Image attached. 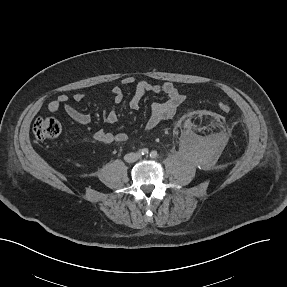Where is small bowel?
Instances as JSON below:
<instances>
[{"instance_id":"small-bowel-1","label":"small bowel","mask_w":287,"mask_h":287,"mask_svg":"<svg viewBox=\"0 0 287 287\" xmlns=\"http://www.w3.org/2000/svg\"><path fill=\"white\" fill-rule=\"evenodd\" d=\"M123 85L134 86V94L129 101V106L133 110L140 108L142 99L147 93H162L167 96V100L164 102H155L151 105L150 115L145 124V128L148 130L154 129L159 123L173 117L184 102V95L180 93L174 83L164 82L162 84H153L144 80H136L133 76H125L121 80ZM113 97V106L111 109H102L103 120L107 124H112L117 120L116 107L122 103L124 99L123 90L115 86L111 89ZM86 98V94L75 93L72 96L74 102H82ZM63 109L65 114L74 122L88 125L91 123V116L83 113L69 104V97L65 94L57 96L51 100L47 105V110L51 113H55ZM97 141L109 144L112 142L124 143L128 140V135L124 132L112 133L106 130H98L95 133Z\"/></svg>"}]
</instances>
